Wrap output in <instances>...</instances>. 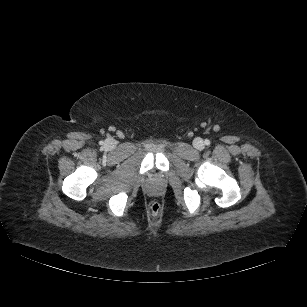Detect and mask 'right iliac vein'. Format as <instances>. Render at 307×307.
<instances>
[{
  "label": "right iliac vein",
  "instance_id": "obj_1",
  "mask_svg": "<svg viewBox=\"0 0 307 307\" xmlns=\"http://www.w3.org/2000/svg\"><path fill=\"white\" fill-rule=\"evenodd\" d=\"M106 145L109 148H114L116 146V141L114 139H108L107 142H106Z\"/></svg>",
  "mask_w": 307,
  "mask_h": 307
}]
</instances>
